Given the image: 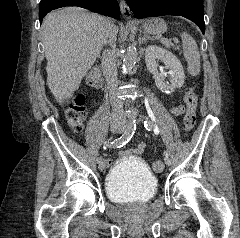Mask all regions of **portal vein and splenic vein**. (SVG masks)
<instances>
[{
	"label": "portal vein and splenic vein",
	"instance_id": "obj_1",
	"mask_svg": "<svg viewBox=\"0 0 240 238\" xmlns=\"http://www.w3.org/2000/svg\"><path fill=\"white\" fill-rule=\"evenodd\" d=\"M161 42H162V43H167V42H168V40H166V39L162 38V39H161Z\"/></svg>",
	"mask_w": 240,
	"mask_h": 238
}]
</instances>
